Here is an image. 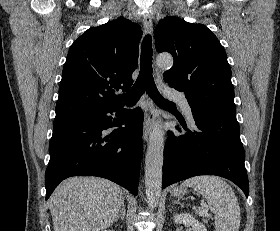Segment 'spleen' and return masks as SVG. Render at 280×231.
<instances>
[{"label": "spleen", "mask_w": 280, "mask_h": 231, "mask_svg": "<svg viewBox=\"0 0 280 231\" xmlns=\"http://www.w3.org/2000/svg\"><path fill=\"white\" fill-rule=\"evenodd\" d=\"M182 187H193L204 195L215 213V231H239L241 213L238 199L230 185L217 175H196L185 179Z\"/></svg>", "instance_id": "1"}]
</instances>
